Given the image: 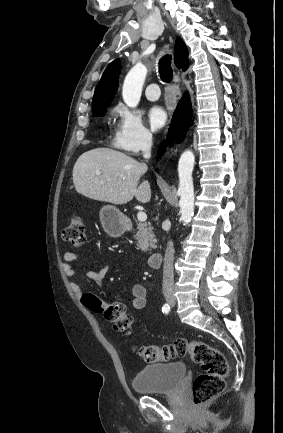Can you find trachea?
<instances>
[{
	"label": "trachea",
	"instance_id": "3493384b",
	"mask_svg": "<svg viewBox=\"0 0 283 433\" xmlns=\"http://www.w3.org/2000/svg\"><path fill=\"white\" fill-rule=\"evenodd\" d=\"M172 57L169 54L162 56L158 62L160 78L165 83H170L173 78L171 67Z\"/></svg>",
	"mask_w": 283,
	"mask_h": 433
}]
</instances>
